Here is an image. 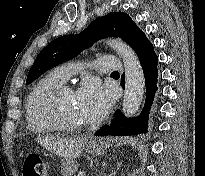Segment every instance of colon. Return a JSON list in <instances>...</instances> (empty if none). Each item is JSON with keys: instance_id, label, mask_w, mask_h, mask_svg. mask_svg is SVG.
<instances>
[{"instance_id": "obj_1", "label": "colon", "mask_w": 205, "mask_h": 176, "mask_svg": "<svg viewBox=\"0 0 205 176\" xmlns=\"http://www.w3.org/2000/svg\"><path fill=\"white\" fill-rule=\"evenodd\" d=\"M23 176H46V164L40 158H30L22 167Z\"/></svg>"}]
</instances>
